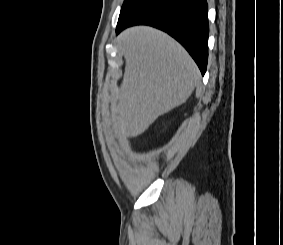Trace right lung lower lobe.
Instances as JSON below:
<instances>
[{
  "label": "right lung lower lobe",
  "mask_w": 283,
  "mask_h": 245,
  "mask_svg": "<svg viewBox=\"0 0 283 245\" xmlns=\"http://www.w3.org/2000/svg\"><path fill=\"white\" fill-rule=\"evenodd\" d=\"M207 9L206 0H150L117 24L116 33L137 24L161 29L187 49L204 75L208 61Z\"/></svg>",
  "instance_id": "1"
}]
</instances>
